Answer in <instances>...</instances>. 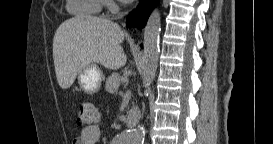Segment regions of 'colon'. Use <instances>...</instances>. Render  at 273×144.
<instances>
[{
	"mask_svg": "<svg viewBox=\"0 0 273 144\" xmlns=\"http://www.w3.org/2000/svg\"><path fill=\"white\" fill-rule=\"evenodd\" d=\"M98 121V111L92 102H83L76 116V126L85 129L94 126Z\"/></svg>",
	"mask_w": 273,
	"mask_h": 144,
	"instance_id": "5ec220e1",
	"label": "colon"
}]
</instances>
